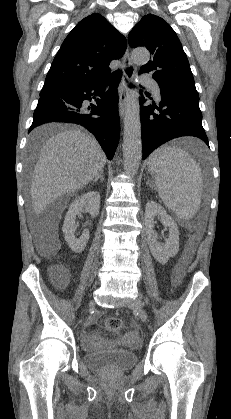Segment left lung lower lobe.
Wrapping results in <instances>:
<instances>
[{"instance_id":"obj_1","label":"left lung lower lobe","mask_w":231,"mask_h":419,"mask_svg":"<svg viewBox=\"0 0 231 419\" xmlns=\"http://www.w3.org/2000/svg\"><path fill=\"white\" fill-rule=\"evenodd\" d=\"M140 105L145 98H139ZM157 109L159 113H154ZM143 159L163 143L181 136H195L208 146V138L202 127L199 95L161 89L159 108L142 106L140 111Z\"/></svg>"}]
</instances>
